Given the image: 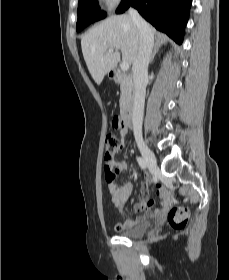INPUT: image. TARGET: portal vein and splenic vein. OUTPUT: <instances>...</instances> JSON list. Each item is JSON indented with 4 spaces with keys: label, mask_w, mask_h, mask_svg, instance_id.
Returning <instances> with one entry per match:
<instances>
[{
    "label": "portal vein and splenic vein",
    "mask_w": 229,
    "mask_h": 280,
    "mask_svg": "<svg viewBox=\"0 0 229 280\" xmlns=\"http://www.w3.org/2000/svg\"><path fill=\"white\" fill-rule=\"evenodd\" d=\"M108 52H109V53H112L113 50L110 49ZM129 66H130V63H129V62L123 61V62L121 63V65H120V68H121L122 71H127V70L129 69Z\"/></svg>",
    "instance_id": "18ae733b"
}]
</instances>
